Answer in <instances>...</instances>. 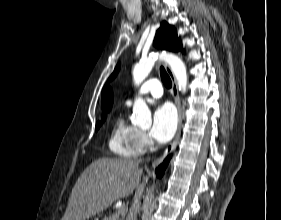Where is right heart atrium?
Returning <instances> with one entry per match:
<instances>
[{
  "instance_id": "d8ad5b80",
  "label": "right heart atrium",
  "mask_w": 281,
  "mask_h": 220,
  "mask_svg": "<svg viewBox=\"0 0 281 220\" xmlns=\"http://www.w3.org/2000/svg\"><path fill=\"white\" fill-rule=\"evenodd\" d=\"M138 140L142 150L147 149L152 145L150 138L143 131H139Z\"/></svg>"
}]
</instances>
